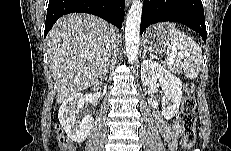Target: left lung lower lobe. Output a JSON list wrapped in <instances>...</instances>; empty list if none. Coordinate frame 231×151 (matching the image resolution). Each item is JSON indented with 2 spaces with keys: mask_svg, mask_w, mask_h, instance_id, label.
<instances>
[{
  "mask_svg": "<svg viewBox=\"0 0 231 151\" xmlns=\"http://www.w3.org/2000/svg\"><path fill=\"white\" fill-rule=\"evenodd\" d=\"M178 22L199 33L206 42V26L201 0H150L143 5L140 34L150 25L164 22Z\"/></svg>",
  "mask_w": 231,
  "mask_h": 151,
  "instance_id": "1",
  "label": "left lung lower lobe"
}]
</instances>
